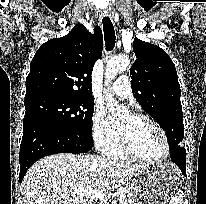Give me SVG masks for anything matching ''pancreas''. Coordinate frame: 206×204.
<instances>
[{
	"label": "pancreas",
	"instance_id": "cf45deb5",
	"mask_svg": "<svg viewBox=\"0 0 206 204\" xmlns=\"http://www.w3.org/2000/svg\"><path fill=\"white\" fill-rule=\"evenodd\" d=\"M124 198L120 201V204H132V201L134 199L133 194L131 193L130 189L127 188L123 192Z\"/></svg>",
	"mask_w": 206,
	"mask_h": 204
}]
</instances>
